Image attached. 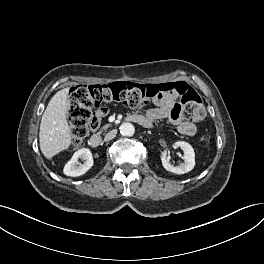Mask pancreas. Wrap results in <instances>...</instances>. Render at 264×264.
<instances>
[{"label":"pancreas","instance_id":"pancreas-1","mask_svg":"<svg viewBox=\"0 0 264 264\" xmlns=\"http://www.w3.org/2000/svg\"><path fill=\"white\" fill-rule=\"evenodd\" d=\"M111 126V124H106V125H104L103 127H102V129H107V128H109Z\"/></svg>","mask_w":264,"mask_h":264}]
</instances>
